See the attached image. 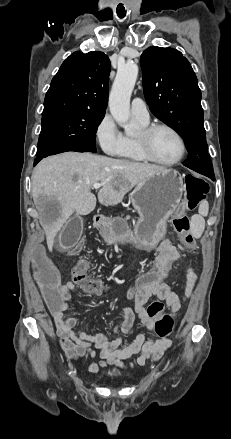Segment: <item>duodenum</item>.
<instances>
[{
  "label": "duodenum",
  "mask_w": 231,
  "mask_h": 439,
  "mask_svg": "<svg viewBox=\"0 0 231 439\" xmlns=\"http://www.w3.org/2000/svg\"><path fill=\"white\" fill-rule=\"evenodd\" d=\"M103 221H104V219L102 216H95V218H94V223L97 226L102 225Z\"/></svg>",
  "instance_id": "410a0bca"
}]
</instances>
